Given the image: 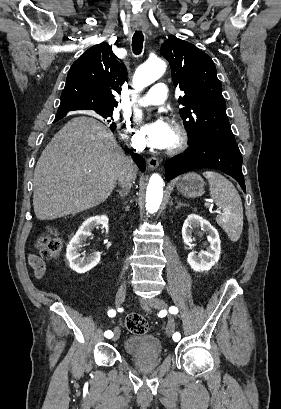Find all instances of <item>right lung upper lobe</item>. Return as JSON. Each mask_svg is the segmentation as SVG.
I'll use <instances>...</instances> for the list:
<instances>
[{
  "mask_svg": "<svg viewBox=\"0 0 281 409\" xmlns=\"http://www.w3.org/2000/svg\"><path fill=\"white\" fill-rule=\"evenodd\" d=\"M126 79L125 65L115 59L107 43L89 48L68 72L57 114L76 110L113 111L118 103L112 93H120Z\"/></svg>",
  "mask_w": 281,
  "mask_h": 409,
  "instance_id": "right-lung-upper-lobe-1",
  "label": "right lung upper lobe"
}]
</instances>
